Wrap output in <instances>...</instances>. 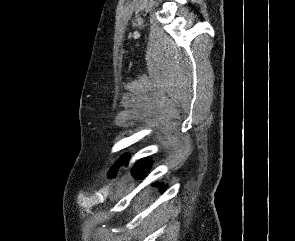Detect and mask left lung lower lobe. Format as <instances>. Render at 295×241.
<instances>
[{"instance_id":"0a47b994","label":"left lung lower lobe","mask_w":295,"mask_h":241,"mask_svg":"<svg viewBox=\"0 0 295 241\" xmlns=\"http://www.w3.org/2000/svg\"><path fill=\"white\" fill-rule=\"evenodd\" d=\"M151 160L149 158H142L138 160L135 165L131 168V174L136 179H143L145 177L144 173L148 171L151 167ZM154 186L160 187V191L163 192L165 186L161 183H155Z\"/></svg>"}]
</instances>
